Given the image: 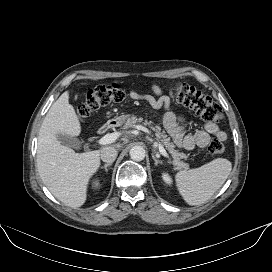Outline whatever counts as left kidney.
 Segmentation results:
<instances>
[{
	"label": "left kidney",
	"instance_id": "1",
	"mask_svg": "<svg viewBox=\"0 0 272 272\" xmlns=\"http://www.w3.org/2000/svg\"><path fill=\"white\" fill-rule=\"evenodd\" d=\"M162 178H163V180H164V182H165L166 184H168V185H171V184H172V179H171V177L169 176L168 173H163V174H162Z\"/></svg>",
	"mask_w": 272,
	"mask_h": 272
}]
</instances>
